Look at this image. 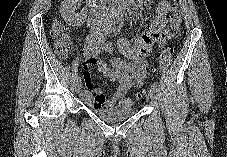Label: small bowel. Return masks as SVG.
Masks as SVG:
<instances>
[{
	"mask_svg": "<svg viewBox=\"0 0 227 157\" xmlns=\"http://www.w3.org/2000/svg\"><path fill=\"white\" fill-rule=\"evenodd\" d=\"M150 3L151 0H137L135 6H148ZM170 10V3L167 0H161L156 7L155 15L147 31L143 32L133 43L125 39L119 40L118 49L126 59L112 58L108 64L98 58L101 52L111 51L103 33L94 32L86 39L83 49L86 88L82 91L81 97L87 105L102 108L120 104L129 89L143 83L148 67L145 57L150 55L152 45L163 39V30L167 24ZM91 67H97L109 81H118L119 86L110 98L107 99L101 90L94 87L88 71Z\"/></svg>",
	"mask_w": 227,
	"mask_h": 157,
	"instance_id": "small-bowel-1",
	"label": "small bowel"
}]
</instances>
